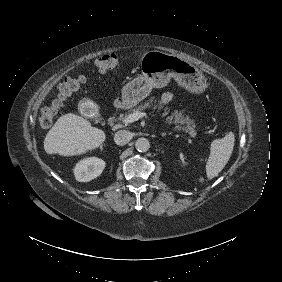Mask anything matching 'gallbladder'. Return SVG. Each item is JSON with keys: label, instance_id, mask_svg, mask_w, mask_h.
Returning <instances> with one entry per match:
<instances>
[{"label": "gallbladder", "instance_id": "bac80fb5", "mask_svg": "<svg viewBox=\"0 0 282 282\" xmlns=\"http://www.w3.org/2000/svg\"><path fill=\"white\" fill-rule=\"evenodd\" d=\"M89 101H90L89 99L83 98V99L79 102L78 107L87 106V104H88Z\"/></svg>", "mask_w": 282, "mask_h": 282}]
</instances>
